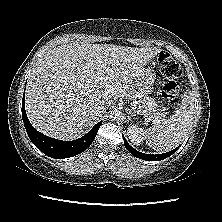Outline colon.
Wrapping results in <instances>:
<instances>
[{
	"label": "colon",
	"instance_id": "colon-1",
	"mask_svg": "<svg viewBox=\"0 0 222 222\" xmlns=\"http://www.w3.org/2000/svg\"><path fill=\"white\" fill-rule=\"evenodd\" d=\"M158 66L165 77L161 88L162 97L168 101H173L179 94V86L176 82L182 74V68L169 54L162 53L158 57Z\"/></svg>",
	"mask_w": 222,
	"mask_h": 222
}]
</instances>
